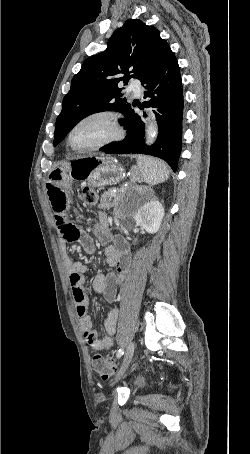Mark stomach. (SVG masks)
<instances>
[{
	"mask_svg": "<svg viewBox=\"0 0 250 454\" xmlns=\"http://www.w3.org/2000/svg\"><path fill=\"white\" fill-rule=\"evenodd\" d=\"M123 166L112 157H87L78 159L71 164L70 175L75 179L85 181L88 186L100 187L116 184L122 178ZM48 176H64L60 170L49 173ZM134 177L139 179L140 173L136 172ZM46 187V184H45Z\"/></svg>",
	"mask_w": 250,
	"mask_h": 454,
	"instance_id": "0dacf381",
	"label": "stomach"
}]
</instances>
